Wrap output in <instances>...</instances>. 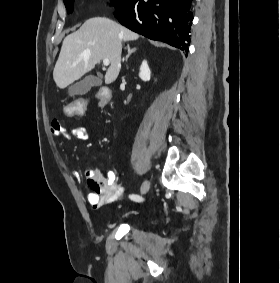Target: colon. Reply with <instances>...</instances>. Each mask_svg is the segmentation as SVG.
Here are the masks:
<instances>
[{
	"mask_svg": "<svg viewBox=\"0 0 280 283\" xmlns=\"http://www.w3.org/2000/svg\"><path fill=\"white\" fill-rule=\"evenodd\" d=\"M97 97L100 100H107L110 97L109 87H96ZM86 106L85 99H74L73 103H65L63 105V111L65 113V118L69 119L70 116H84Z\"/></svg>",
	"mask_w": 280,
	"mask_h": 283,
	"instance_id": "5ec220e1",
	"label": "colon"
}]
</instances>
